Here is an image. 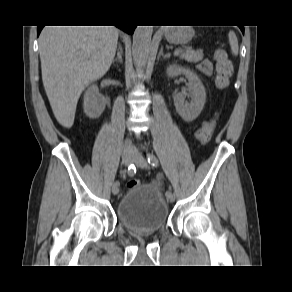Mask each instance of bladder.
<instances>
[{
	"mask_svg": "<svg viewBox=\"0 0 292 292\" xmlns=\"http://www.w3.org/2000/svg\"><path fill=\"white\" fill-rule=\"evenodd\" d=\"M117 217L129 232L157 233L167 224L169 207L157 185H138L119 200Z\"/></svg>",
	"mask_w": 292,
	"mask_h": 292,
	"instance_id": "bladder-1",
	"label": "bladder"
}]
</instances>
